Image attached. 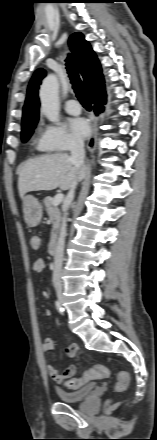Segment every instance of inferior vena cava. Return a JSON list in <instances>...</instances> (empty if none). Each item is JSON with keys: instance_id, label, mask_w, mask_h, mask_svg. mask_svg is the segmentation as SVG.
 Wrapping results in <instances>:
<instances>
[{"instance_id": "1", "label": "inferior vena cava", "mask_w": 157, "mask_h": 440, "mask_svg": "<svg viewBox=\"0 0 157 440\" xmlns=\"http://www.w3.org/2000/svg\"><path fill=\"white\" fill-rule=\"evenodd\" d=\"M85 158V150H84V142L82 139H74L71 147V160L74 163L77 169L81 168L84 165ZM78 180L75 179L72 183L70 190L65 199V203L67 206L71 204L74 199L75 189L77 186ZM66 213L62 219V226L60 229V234L58 237L55 256H54V269H53V285L57 291H61L62 289V264L64 257V244L66 237Z\"/></svg>"}]
</instances>
